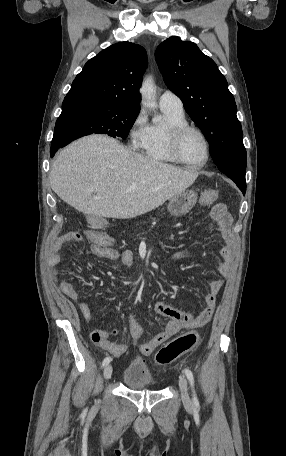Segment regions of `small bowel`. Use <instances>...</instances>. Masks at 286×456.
Here are the masks:
<instances>
[{"label":"small bowel","instance_id":"obj_1","mask_svg":"<svg viewBox=\"0 0 286 456\" xmlns=\"http://www.w3.org/2000/svg\"><path fill=\"white\" fill-rule=\"evenodd\" d=\"M212 217L218 224V230L223 238L224 245L220 251L222 261L217 265L218 272L223 277H228L232 271L233 264V234L231 230L232 219L223 204H216L212 208ZM75 232L67 233L61 236L49 258V263L54 267V275L57 279L58 271L55 268L61 260V250L70 244L81 240V235H74ZM86 239L90 242L91 253L101 259L118 260L127 267L134 264V254L130 250H119L114 246V240L111 236L104 232L88 230L84 233ZM187 256V253L176 251L172 254L173 259H181ZM60 288L63 294L70 300L77 303L78 309L85 321L92 320V309L87 300H81L79 291L74 286L73 282L67 276H62L59 280ZM224 284L223 280H213L209 282V292L204 298L205 306L197 314H191L179 310L163 301H157L154 304V310L157 314L169 318L165 328L154 335L149 341L140 346V351L143 355H150L153 351L168 340L170 337L178 333L182 329L199 328L207 324L214 312L216 306L217 295ZM128 330L135 340H141L145 336L143 328L138 324L133 314H127ZM117 331H106L103 329L93 330L91 339L98 346L112 355L119 357L127 351L125 344L113 342L111 337ZM147 349V350H146Z\"/></svg>","mask_w":286,"mask_h":456}]
</instances>
